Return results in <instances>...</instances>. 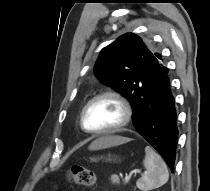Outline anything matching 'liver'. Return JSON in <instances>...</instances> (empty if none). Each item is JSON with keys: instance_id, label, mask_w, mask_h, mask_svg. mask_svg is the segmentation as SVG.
<instances>
[{"instance_id": "1", "label": "liver", "mask_w": 210, "mask_h": 191, "mask_svg": "<svg viewBox=\"0 0 210 191\" xmlns=\"http://www.w3.org/2000/svg\"><path fill=\"white\" fill-rule=\"evenodd\" d=\"M131 139L122 137V136H111L107 135L104 137H100L94 142L91 143L89 146V150H99V149H105L108 147L118 146L124 143L129 142Z\"/></svg>"}]
</instances>
